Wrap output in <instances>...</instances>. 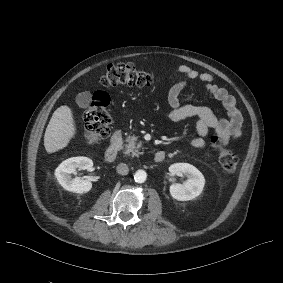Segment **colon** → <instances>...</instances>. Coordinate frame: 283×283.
Instances as JSON below:
<instances>
[{
  "label": "colon",
  "instance_id": "1",
  "mask_svg": "<svg viewBox=\"0 0 283 283\" xmlns=\"http://www.w3.org/2000/svg\"><path fill=\"white\" fill-rule=\"evenodd\" d=\"M155 82L153 75L129 63L109 65L99 79V84L104 88L118 85L146 87ZM108 105V95L105 92H97L85 110V139L89 145L99 143L109 134L111 117L107 111ZM211 144L218 152L221 170L225 174H233L238 166L237 155L225 148L218 136L211 138Z\"/></svg>",
  "mask_w": 283,
  "mask_h": 283
}]
</instances>
